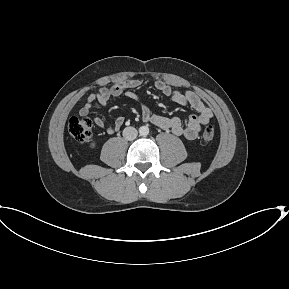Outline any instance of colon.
<instances>
[{"mask_svg":"<svg viewBox=\"0 0 289 289\" xmlns=\"http://www.w3.org/2000/svg\"><path fill=\"white\" fill-rule=\"evenodd\" d=\"M68 131L76 141L85 143L91 137L92 122L88 118L72 117L68 122ZM214 136L215 130L209 125L203 130L201 139L204 143H210Z\"/></svg>","mask_w":289,"mask_h":289,"instance_id":"5ec220e1","label":"colon"}]
</instances>
